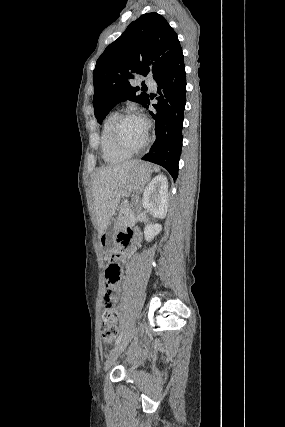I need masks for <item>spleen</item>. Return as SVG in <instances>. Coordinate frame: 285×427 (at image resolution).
<instances>
[{
	"label": "spleen",
	"instance_id": "spleen-1",
	"mask_svg": "<svg viewBox=\"0 0 285 427\" xmlns=\"http://www.w3.org/2000/svg\"><path fill=\"white\" fill-rule=\"evenodd\" d=\"M153 169H154L155 172H159L160 171V168L158 166H154Z\"/></svg>",
	"mask_w": 285,
	"mask_h": 427
}]
</instances>
